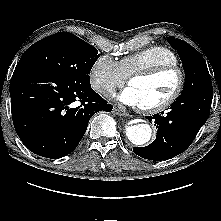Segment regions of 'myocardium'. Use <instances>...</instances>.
<instances>
[{"instance_id": "obj_1", "label": "myocardium", "mask_w": 221, "mask_h": 221, "mask_svg": "<svg viewBox=\"0 0 221 221\" xmlns=\"http://www.w3.org/2000/svg\"><path fill=\"white\" fill-rule=\"evenodd\" d=\"M167 72H175L178 75V83L176 89L167 99L158 104L152 106H140L139 108L141 111L155 114L163 112L170 108L178 100L184 90L186 81L184 70L178 65L163 64L136 71L129 76L128 83L130 84L131 81L136 78H150Z\"/></svg>"}]
</instances>
